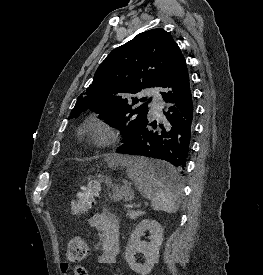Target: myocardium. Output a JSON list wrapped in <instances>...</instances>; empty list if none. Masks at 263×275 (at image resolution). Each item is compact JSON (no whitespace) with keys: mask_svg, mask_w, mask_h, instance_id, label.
<instances>
[{"mask_svg":"<svg viewBox=\"0 0 263 275\" xmlns=\"http://www.w3.org/2000/svg\"><path fill=\"white\" fill-rule=\"evenodd\" d=\"M87 137L98 145H109L115 137L112 125L101 117H92L86 124Z\"/></svg>","mask_w":263,"mask_h":275,"instance_id":"obj_1","label":"myocardium"}]
</instances>
